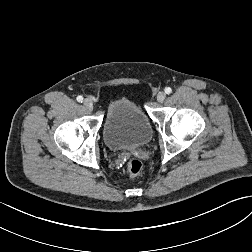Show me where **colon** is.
<instances>
[{
    "label": "colon",
    "mask_w": 252,
    "mask_h": 252,
    "mask_svg": "<svg viewBox=\"0 0 252 252\" xmlns=\"http://www.w3.org/2000/svg\"><path fill=\"white\" fill-rule=\"evenodd\" d=\"M142 167V162L136 158L128 160L126 164L127 172L132 177L138 175L141 172Z\"/></svg>",
    "instance_id": "colon-1"
}]
</instances>
